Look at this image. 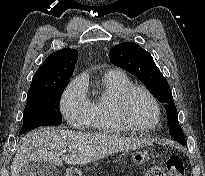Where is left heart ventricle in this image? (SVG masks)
Instances as JSON below:
<instances>
[{
	"label": "left heart ventricle",
	"instance_id": "1",
	"mask_svg": "<svg viewBox=\"0 0 205 176\" xmlns=\"http://www.w3.org/2000/svg\"><path fill=\"white\" fill-rule=\"evenodd\" d=\"M128 114L137 124L149 125L155 120V110L148 97L140 92L135 93L128 102Z\"/></svg>",
	"mask_w": 205,
	"mask_h": 176
}]
</instances>
